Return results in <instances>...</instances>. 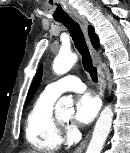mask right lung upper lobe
<instances>
[{"label":"right lung upper lobe","instance_id":"cb5924a9","mask_svg":"<svg viewBox=\"0 0 130 153\" xmlns=\"http://www.w3.org/2000/svg\"><path fill=\"white\" fill-rule=\"evenodd\" d=\"M89 36H90V39H91L93 46L95 48H98L99 47V40H98V37L95 34L94 28L92 26H89ZM41 77H42V66H40L39 70L36 73L35 78L33 79V82L31 84V87H30L28 95H27L26 102H29L31 100V98L33 97L35 91L37 90V88L41 82Z\"/></svg>","mask_w":130,"mask_h":153}]
</instances>
